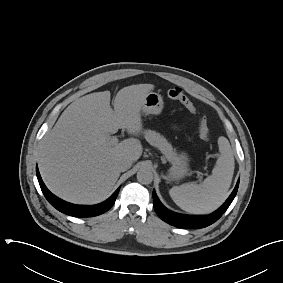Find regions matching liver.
<instances>
[{
	"label": "liver",
	"mask_w": 283,
	"mask_h": 283,
	"mask_svg": "<svg viewBox=\"0 0 283 283\" xmlns=\"http://www.w3.org/2000/svg\"><path fill=\"white\" fill-rule=\"evenodd\" d=\"M153 84L120 89L110 106V91L94 92L72 102L46 133L39 149V170L48 189L75 204H93L111 192L121 159L137 161L142 145L127 139L112 145L110 134L143 129L141 106Z\"/></svg>",
	"instance_id": "1"
}]
</instances>
